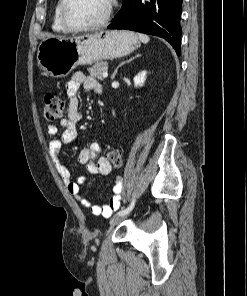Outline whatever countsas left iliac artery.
<instances>
[{
	"mask_svg": "<svg viewBox=\"0 0 247 296\" xmlns=\"http://www.w3.org/2000/svg\"><path fill=\"white\" fill-rule=\"evenodd\" d=\"M134 204H135V199L133 198L131 204L126 209L119 211L117 215L128 214L133 209Z\"/></svg>",
	"mask_w": 247,
	"mask_h": 296,
	"instance_id": "left-iliac-artery-1",
	"label": "left iliac artery"
}]
</instances>
